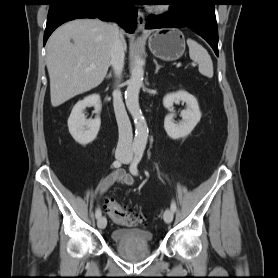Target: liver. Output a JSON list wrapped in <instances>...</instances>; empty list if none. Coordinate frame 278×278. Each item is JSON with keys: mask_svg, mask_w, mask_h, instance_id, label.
<instances>
[{"mask_svg": "<svg viewBox=\"0 0 278 278\" xmlns=\"http://www.w3.org/2000/svg\"><path fill=\"white\" fill-rule=\"evenodd\" d=\"M116 27L98 19H76L56 29L47 42V69L53 107L104 80ZM124 49L126 41L121 36ZM92 65L94 69H89Z\"/></svg>", "mask_w": 278, "mask_h": 278, "instance_id": "liver-1", "label": "liver"}]
</instances>
